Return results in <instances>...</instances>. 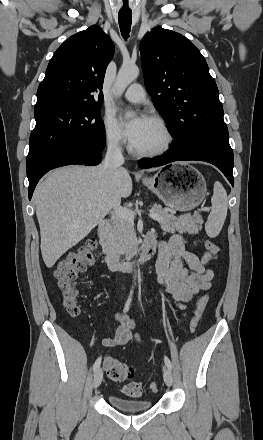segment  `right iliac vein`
I'll return each mask as SVG.
<instances>
[{
    "label": "right iliac vein",
    "instance_id": "63e3f726",
    "mask_svg": "<svg viewBox=\"0 0 263 440\" xmlns=\"http://www.w3.org/2000/svg\"><path fill=\"white\" fill-rule=\"evenodd\" d=\"M102 380H103V371H102L101 368H98L95 371V374H94V379H93V386H94V388L99 387L101 382H102Z\"/></svg>",
    "mask_w": 263,
    "mask_h": 440
}]
</instances>
